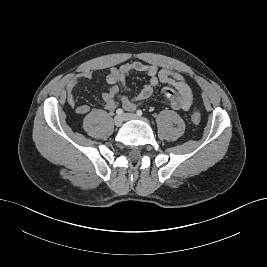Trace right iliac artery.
<instances>
[{
	"label": "right iliac artery",
	"mask_w": 267,
	"mask_h": 267,
	"mask_svg": "<svg viewBox=\"0 0 267 267\" xmlns=\"http://www.w3.org/2000/svg\"><path fill=\"white\" fill-rule=\"evenodd\" d=\"M116 113L118 114V115H122L123 113H124V111L122 110V109H117L116 110Z\"/></svg>",
	"instance_id": "82829eb1"
}]
</instances>
